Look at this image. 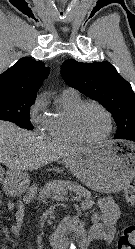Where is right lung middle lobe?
Instances as JSON below:
<instances>
[{
	"label": "right lung middle lobe",
	"mask_w": 135,
	"mask_h": 249,
	"mask_svg": "<svg viewBox=\"0 0 135 249\" xmlns=\"http://www.w3.org/2000/svg\"><path fill=\"white\" fill-rule=\"evenodd\" d=\"M34 100L35 97L0 94V120L14 122L22 128L32 130L29 110Z\"/></svg>",
	"instance_id": "right-lung-middle-lobe-1"
}]
</instances>
